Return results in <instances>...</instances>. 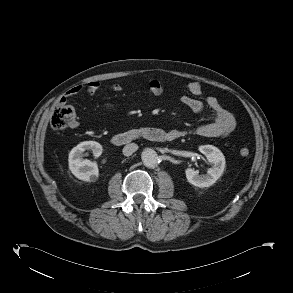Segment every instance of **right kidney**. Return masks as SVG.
<instances>
[{"mask_svg": "<svg viewBox=\"0 0 293 293\" xmlns=\"http://www.w3.org/2000/svg\"><path fill=\"white\" fill-rule=\"evenodd\" d=\"M91 150L95 157L102 154V145L96 141H84L74 147L68 157L69 169L78 179L86 182L95 181L99 176L98 166L95 162L83 159V152Z\"/></svg>", "mask_w": 293, "mask_h": 293, "instance_id": "right-kidney-1", "label": "right kidney"}]
</instances>
